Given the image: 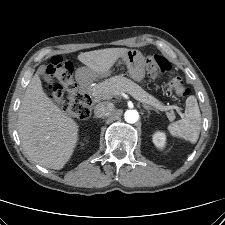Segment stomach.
<instances>
[{"mask_svg":"<svg viewBox=\"0 0 225 225\" xmlns=\"http://www.w3.org/2000/svg\"><path fill=\"white\" fill-rule=\"evenodd\" d=\"M121 61L126 64L129 76L137 81L142 82L146 73V60L143 54L136 49H129L121 56ZM87 76L93 77L96 72L89 68H84Z\"/></svg>","mask_w":225,"mask_h":225,"instance_id":"1","label":"stomach"}]
</instances>
